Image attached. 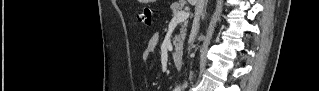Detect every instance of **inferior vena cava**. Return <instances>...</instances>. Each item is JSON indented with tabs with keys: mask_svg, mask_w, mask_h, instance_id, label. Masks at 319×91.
<instances>
[{
	"mask_svg": "<svg viewBox=\"0 0 319 91\" xmlns=\"http://www.w3.org/2000/svg\"><path fill=\"white\" fill-rule=\"evenodd\" d=\"M207 0H197V4L195 6V16L193 20L192 25V40H194V37L197 34V31L199 29V21L200 17L203 15V8ZM191 47L189 46L188 51L190 52ZM187 84L185 83L183 85V88H186Z\"/></svg>",
	"mask_w": 319,
	"mask_h": 91,
	"instance_id": "obj_1",
	"label": "inferior vena cava"
}]
</instances>
